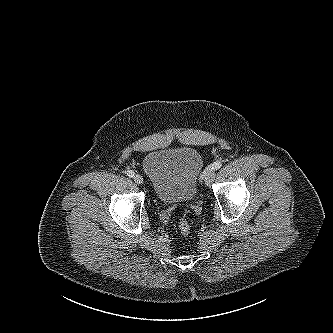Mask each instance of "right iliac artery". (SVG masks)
<instances>
[{
	"instance_id": "obj_1",
	"label": "right iliac artery",
	"mask_w": 333,
	"mask_h": 333,
	"mask_svg": "<svg viewBox=\"0 0 333 333\" xmlns=\"http://www.w3.org/2000/svg\"><path fill=\"white\" fill-rule=\"evenodd\" d=\"M134 171L133 170H129V171H127V176L128 177H130V178H132L133 176H134Z\"/></svg>"
}]
</instances>
